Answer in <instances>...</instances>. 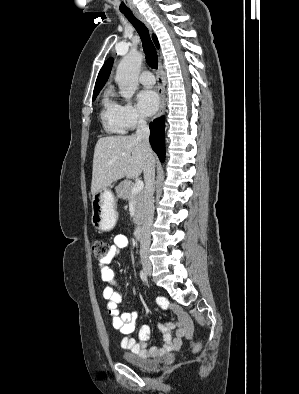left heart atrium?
<instances>
[{
	"instance_id": "left-heart-atrium-1",
	"label": "left heart atrium",
	"mask_w": 299,
	"mask_h": 394,
	"mask_svg": "<svg viewBox=\"0 0 299 394\" xmlns=\"http://www.w3.org/2000/svg\"><path fill=\"white\" fill-rule=\"evenodd\" d=\"M137 106L143 115H153L159 107V98L151 89L141 90L137 95Z\"/></svg>"
}]
</instances>
